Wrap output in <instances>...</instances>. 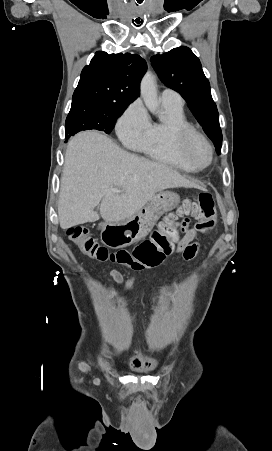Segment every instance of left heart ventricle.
Listing matches in <instances>:
<instances>
[{"instance_id": "b2bd125f", "label": "left heart ventricle", "mask_w": 272, "mask_h": 451, "mask_svg": "<svg viewBox=\"0 0 272 451\" xmlns=\"http://www.w3.org/2000/svg\"><path fill=\"white\" fill-rule=\"evenodd\" d=\"M189 158L191 163L198 168H204L208 162V154L204 147L194 142L189 149Z\"/></svg>"}]
</instances>
